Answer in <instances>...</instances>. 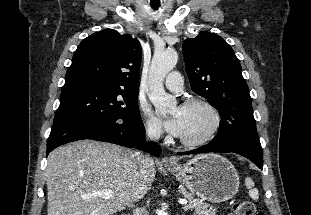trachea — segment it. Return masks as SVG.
<instances>
[{
    "instance_id": "3493384b",
    "label": "trachea",
    "mask_w": 311,
    "mask_h": 215,
    "mask_svg": "<svg viewBox=\"0 0 311 215\" xmlns=\"http://www.w3.org/2000/svg\"><path fill=\"white\" fill-rule=\"evenodd\" d=\"M152 8L157 10L159 8V6H156V5H152Z\"/></svg>"
}]
</instances>
